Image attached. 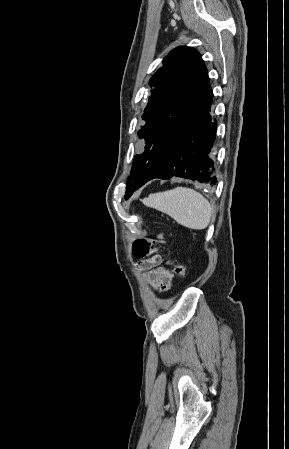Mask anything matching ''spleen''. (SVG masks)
Returning a JSON list of instances; mask_svg holds the SVG:
<instances>
[{"label": "spleen", "instance_id": "spleen-1", "mask_svg": "<svg viewBox=\"0 0 289 449\" xmlns=\"http://www.w3.org/2000/svg\"><path fill=\"white\" fill-rule=\"evenodd\" d=\"M147 207L161 211L178 224L194 229H205L211 219L208 200L199 192L186 187H176L165 192L150 194L142 200Z\"/></svg>", "mask_w": 289, "mask_h": 449}]
</instances>
